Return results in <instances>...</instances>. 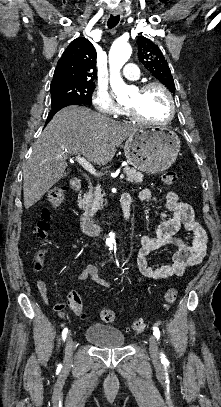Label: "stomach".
<instances>
[{
	"instance_id": "0dacf381",
	"label": "stomach",
	"mask_w": 221,
	"mask_h": 407,
	"mask_svg": "<svg viewBox=\"0 0 221 407\" xmlns=\"http://www.w3.org/2000/svg\"><path fill=\"white\" fill-rule=\"evenodd\" d=\"M180 151L177 134L168 128L138 127L126 140V159L134 168L151 174L167 170Z\"/></svg>"
}]
</instances>
